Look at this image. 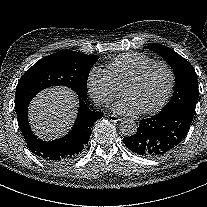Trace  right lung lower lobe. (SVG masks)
I'll return each mask as SVG.
<instances>
[{"mask_svg":"<svg viewBox=\"0 0 207 207\" xmlns=\"http://www.w3.org/2000/svg\"><path fill=\"white\" fill-rule=\"evenodd\" d=\"M29 103L15 107L19 128L31 152L55 165L71 162L81 155L89 141L94 122L104 115L102 112L90 111L84 99L79 98L80 107L71 131L60 139L47 142L38 139L30 129L27 116Z\"/></svg>","mask_w":207,"mask_h":207,"instance_id":"right-lung-lower-lobe-1","label":"right lung lower lobe"}]
</instances>
